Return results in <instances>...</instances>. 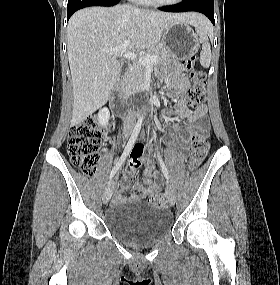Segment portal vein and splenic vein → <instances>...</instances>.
Instances as JSON below:
<instances>
[{
    "instance_id": "portal-vein-and-splenic-vein-1",
    "label": "portal vein and splenic vein",
    "mask_w": 280,
    "mask_h": 285,
    "mask_svg": "<svg viewBox=\"0 0 280 285\" xmlns=\"http://www.w3.org/2000/svg\"><path fill=\"white\" fill-rule=\"evenodd\" d=\"M130 43H131L130 40H126L118 47H115L113 49H104V51L126 59H132V60L138 59V61L145 66H152L154 63L158 61V57L156 55L152 56L143 55L138 57L136 53L127 51L126 49L130 45Z\"/></svg>"
}]
</instances>
